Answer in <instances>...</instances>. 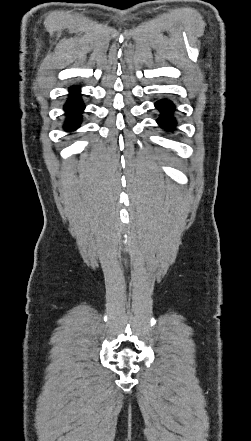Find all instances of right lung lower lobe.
I'll return each instance as SVG.
<instances>
[{
  "label": "right lung lower lobe",
  "mask_w": 251,
  "mask_h": 441,
  "mask_svg": "<svg viewBox=\"0 0 251 441\" xmlns=\"http://www.w3.org/2000/svg\"><path fill=\"white\" fill-rule=\"evenodd\" d=\"M79 87L73 86L70 88V98L65 104L66 121L64 128L66 131L76 130L81 122V113L84 109V104L80 98Z\"/></svg>",
  "instance_id": "obj_1"
}]
</instances>
